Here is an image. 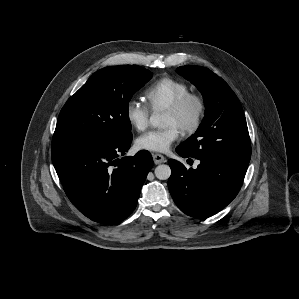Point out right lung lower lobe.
<instances>
[{"label":"right lung lower lobe","mask_w":299,"mask_h":299,"mask_svg":"<svg viewBox=\"0 0 299 299\" xmlns=\"http://www.w3.org/2000/svg\"><path fill=\"white\" fill-rule=\"evenodd\" d=\"M132 135L122 140L53 138L52 162L64 191L88 218L116 224L135 209L153 159L147 150L123 157Z\"/></svg>","instance_id":"right-lung-lower-lobe-1"}]
</instances>
